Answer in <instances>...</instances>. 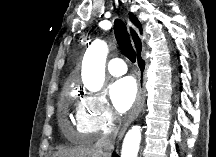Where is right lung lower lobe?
Returning <instances> with one entry per match:
<instances>
[{"instance_id": "obj_1", "label": "right lung lower lobe", "mask_w": 216, "mask_h": 157, "mask_svg": "<svg viewBox=\"0 0 216 157\" xmlns=\"http://www.w3.org/2000/svg\"><path fill=\"white\" fill-rule=\"evenodd\" d=\"M113 157H118V155H116L115 153H114V156Z\"/></svg>"}]
</instances>
